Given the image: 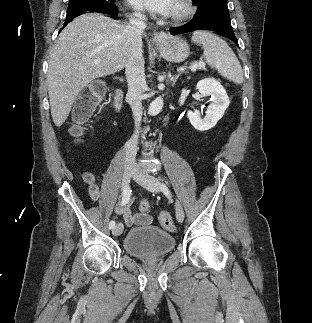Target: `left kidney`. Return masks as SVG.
Returning <instances> with one entry per match:
<instances>
[{
  "label": "left kidney",
  "instance_id": "5707ae66",
  "mask_svg": "<svg viewBox=\"0 0 312 323\" xmlns=\"http://www.w3.org/2000/svg\"><path fill=\"white\" fill-rule=\"evenodd\" d=\"M197 90H199L201 96H212V102L208 106L204 118H201L198 112H188L187 116L195 130L205 132V130H211V128L216 126L217 122L224 116V112L227 110L230 102L223 86L216 82L214 78L200 80L197 84Z\"/></svg>",
  "mask_w": 312,
  "mask_h": 323
}]
</instances>
